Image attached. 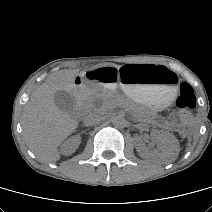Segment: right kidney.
Here are the masks:
<instances>
[{
	"instance_id": "obj_1",
	"label": "right kidney",
	"mask_w": 212,
	"mask_h": 212,
	"mask_svg": "<svg viewBox=\"0 0 212 212\" xmlns=\"http://www.w3.org/2000/svg\"><path fill=\"white\" fill-rule=\"evenodd\" d=\"M81 143V137L80 135H75L68 139L62 146H61V152L64 155H71L76 151V149L79 147Z\"/></svg>"
}]
</instances>
